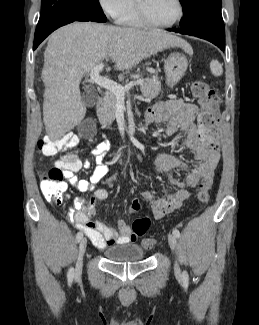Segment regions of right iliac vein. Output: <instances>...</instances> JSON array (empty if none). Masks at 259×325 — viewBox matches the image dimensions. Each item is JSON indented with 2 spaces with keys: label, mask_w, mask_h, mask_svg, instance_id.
I'll return each mask as SVG.
<instances>
[{
  "label": "right iliac vein",
  "mask_w": 259,
  "mask_h": 325,
  "mask_svg": "<svg viewBox=\"0 0 259 325\" xmlns=\"http://www.w3.org/2000/svg\"><path fill=\"white\" fill-rule=\"evenodd\" d=\"M87 247V239L82 238L79 243L78 258L75 267V276H80L82 272V260Z\"/></svg>",
  "instance_id": "right-iliac-vein-1"
}]
</instances>
